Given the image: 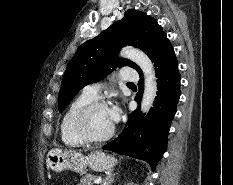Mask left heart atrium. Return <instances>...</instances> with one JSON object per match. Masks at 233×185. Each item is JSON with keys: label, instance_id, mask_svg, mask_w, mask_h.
<instances>
[{"label": "left heart atrium", "instance_id": "39dd6f15", "mask_svg": "<svg viewBox=\"0 0 233 185\" xmlns=\"http://www.w3.org/2000/svg\"><path fill=\"white\" fill-rule=\"evenodd\" d=\"M108 113L112 123L114 124L119 119V108L117 106H113L108 109Z\"/></svg>", "mask_w": 233, "mask_h": 185}]
</instances>
